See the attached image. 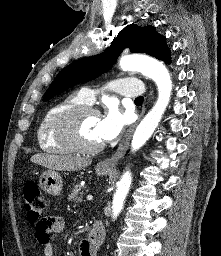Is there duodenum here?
Returning <instances> with one entry per match:
<instances>
[{
	"instance_id": "410a0bca",
	"label": "duodenum",
	"mask_w": 221,
	"mask_h": 256,
	"mask_svg": "<svg viewBox=\"0 0 221 256\" xmlns=\"http://www.w3.org/2000/svg\"><path fill=\"white\" fill-rule=\"evenodd\" d=\"M104 237V227L101 221H95L89 236L87 237V241L95 248H97Z\"/></svg>"
}]
</instances>
